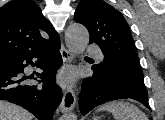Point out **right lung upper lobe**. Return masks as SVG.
Masks as SVG:
<instances>
[{"label": "right lung upper lobe", "mask_w": 165, "mask_h": 120, "mask_svg": "<svg viewBox=\"0 0 165 120\" xmlns=\"http://www.w3.org/2000/svg\"><path fill=\"white\" fill-rule=\"evenodd\" d=\"M32 0H12L0 8V62L58 38Z\"/></svg>", "instance_id": "obj_1"}]
</instances>
